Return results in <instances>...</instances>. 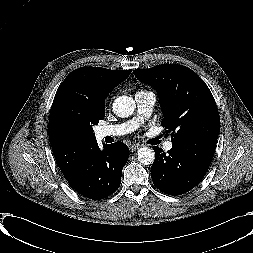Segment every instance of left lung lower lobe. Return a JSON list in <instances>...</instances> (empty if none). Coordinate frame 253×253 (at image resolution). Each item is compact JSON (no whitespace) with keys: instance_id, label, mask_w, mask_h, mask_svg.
<instances>
[{"instance_id":"1","label":"left lung lower lobe","mask_w":253,"mask_h":253,"mask_svg":"<svg viewBox=\"0 0 253 253\" xmlns=\"http://www.w3.org/2000/svg\"><path fill=\"white\" fill-rule=\"evenodd\" d=\"M156 159L151 167L154 185L169 195L193 189L205 176L215 147L205 144H172L168 154L153 147Z\"/></svg>"}]
</instances>
